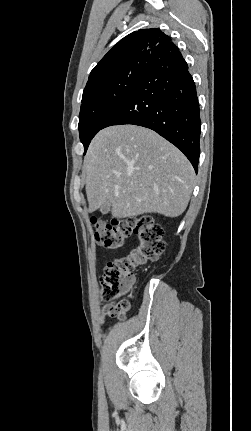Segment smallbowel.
Returning <instances> with one entry per match:
<instances>
[{"label": "small bowel", "instance_id": "c3829d8e", "mask_svg": "<svg viewBox=\"0 0 251 431\" xmlns=\"http://www.w3.org/2000/svg\"><path fill=\"white\" fill-rule=\"evenodd\" d=\"M109 314L106 312V310L104 309L103 310V312H102V314H101V322L103 323L104 322V319H105V317L106 316H108Z\"/></svg>", "mask_w": 251, "mask_h": 431}]
</instances>
